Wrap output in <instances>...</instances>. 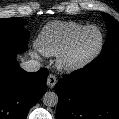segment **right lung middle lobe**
Wrapping results in <instances>:
<instances>
[{
    "instance_id": "1",
    "label": "right lung middle lobe",
    "mask_w": 119,
    "mask_h": 119,
    "mask_svg": "<svg viewBox=\"0 0 119 119\" xmlns=\"http://www.w3.org/2000/svg\"><path fill=\"white\" fill-rule=\"evenodd\" d=\"M29 31L19 18L0 19V45H7L26 51Z\"/></svg>"
}]
</instances>
